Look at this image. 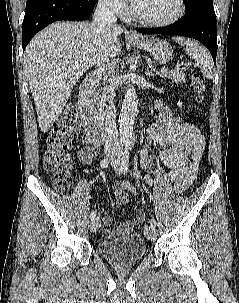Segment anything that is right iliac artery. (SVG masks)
<instances>
[{"mask_svg": "<svg viewBox=\"0 0 239 303\" xmlns=\"http://www.w3.org/2000/svg\"><path fill=\"white\" fill-rule=\"evenodd\" d=\"M108 164H109L108 159H103V160H101V162H100L101 168H104V169L108 167ZM95 216H96V211L93 210V211L90 213V218H91V219H94Z\"/></svg>", "mask_w": 239, "mask_h": 303, "instance_id": "right-iliac-artery-1", "label": "right iliac artery"}]
</instances>
